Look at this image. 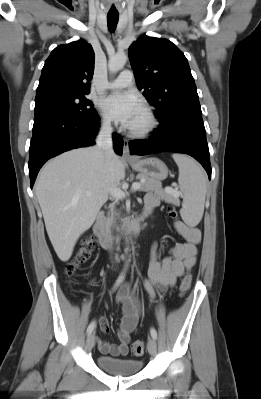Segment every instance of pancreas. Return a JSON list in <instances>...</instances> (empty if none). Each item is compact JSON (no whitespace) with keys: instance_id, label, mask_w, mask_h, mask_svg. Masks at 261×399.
I'll return each instance as SVG.
<instances>
[{"instance_id":"obj_1","label":"pancreas","mask_w":261,"mask_h":399,"mask_svg":"<svg viewBox=\"0 0 261 399\" xmlns=\"http://www.w3.org/2000/svg\"><path fill=\"white\" fill-rule=\"evenodd\" d=\"M137 179L144 180V182H141V191H153L155 194L159 195L162 199L168 200L170 198H173V195L169 194L166 190L162 189V184L160 181L152 179L150 177H147L145 175L139 174L136 177ZM119 216V213L115 211V206L114 204L111 207L110 214L108 218L106 219V224L107 227L110 228L115 225L116 223V217ZM124 223L127 221V219L122 220Z\"/></svg>"}]
</instances>
